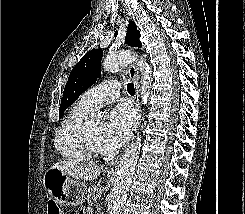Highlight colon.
Returning <instances> with one entry per match:
<instances>
[{"mask_svg":"<svg viewBox=\"0 0 245 214\" xmlns=\"http://www.w3.org/2000/svg\"><path fill=\"white\" fill-rule=\"evenodd\" d=\"M49 214H61L58 206L53 201L49 202Z\"/></svg>","mask_w":245,"mask_h":214,"instance_id":"5ec220e1","label":"colon"}]
</instances>
